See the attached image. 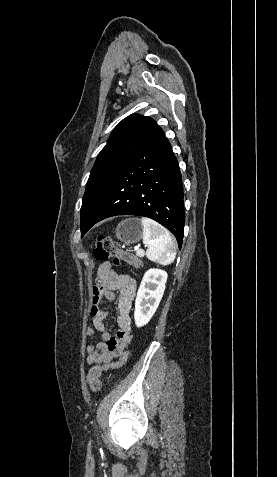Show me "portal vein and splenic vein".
I'll use <instances>...</instances> for the list:
<instances>
[{
    "instance_id": "1",
    "label": "portal vein and splenic vein",
    "mask_w": 277,
    "mask_h": 477,
    "mask_svg": "<svg viewBox=\"0 0 277 477\" xmlns=\"http://www.w3.org/2000/svg\"><path fill=\"white\" fill-rule=\"evenodd\" d=\"M134 249H135L136 254L138 256H143L144 255V250L140 249L138 246H135Z\"/></svg>"
}]
</instances>
